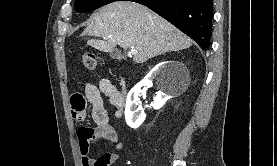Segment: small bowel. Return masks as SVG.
<instances>
[{
    "instance_id": "obj_1",
    "label": "small bowel",
    "mask_w": 277,
    "mask_h": 166,
    "mask_svg": "<svg viewBox=\"0 0 277 166\" xmlns=\"http://www.w3.org/2000/svg\"><path fill=\"white\" fill-rule=\"evenodd\" d=\"M103 96H106L110 104L117 108L116 114L120 116L122 111L120 92L108 79H101L98 85L86 82L84 93H74L70 98L72 118L76 121H83L86 117L87 104H90L92 119L95 123V127H81L77 132L82 166H111L119 158L117 152H106L97 159L92 158L90 148L96 142H110L116 151L124 147L117 131L110 124Z\"/></svg>"
}]
</instances>
